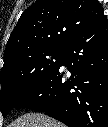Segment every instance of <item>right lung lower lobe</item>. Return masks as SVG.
Here are the masks:
<instances>
[{"label":"right lung lower lobe","mask_w":108,"mask_h":127,"mask_svg":"<svg viewBox=\"0 0 108 127\" xmlns=\"http://www.w3.org/2000/svg\"><path fill=\"white\" fill-rule=\"evenodd\" d=\"M67 67V69L62 68ZM18 107L45 111L66 125L108 124V22L106 19L78 36L44 83Z\"/></svg>","instance_id":"98d812e1"}]
</instances>
